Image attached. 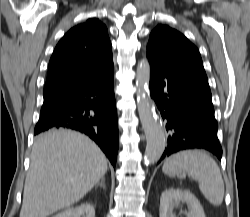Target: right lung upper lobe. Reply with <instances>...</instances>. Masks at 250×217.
<instances>
[{
  "label": "right lung upper lobe",
  "instance_id": "cb5924a9",
  "mask_svg": "<svg viewBox=\"0 0 250 217\" xmlns=\"http://www.w3.org/2000/svg\"><path fill=\"white\" fill-rule=\"evenodd\" d=\"M111 66L107 28L98 19H89L58 42L49 62L43 96L90 81Z\"/></svg>",
  "mask_w": 250,
  "mask_h": 217
}]
</instances>
